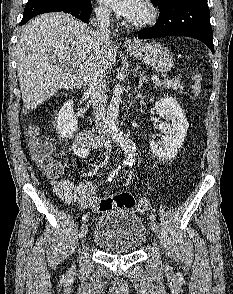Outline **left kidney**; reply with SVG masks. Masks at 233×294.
Here are the masks:
<instances>
[{
	"mask_svg": "<svg viewBox=\"0 0 233 294\" xmlns=\"http://www.w3.org/2000/svg\"><path fill=\"white\" fill-rule=\"evenodd\" d=\"M155 109L159 116L166 117L171 123H162L159 130H163L168 136L162 141H150V149L157 157L165 160L174 158L187 134L189 123L175 99L164 97L155 103Z\"/></svg>",
	"mask_w": 233,
	"mask_h": 294,
	"instance_id": "1",
	"label": "left kidney"
}]
</instances>
